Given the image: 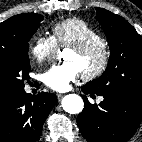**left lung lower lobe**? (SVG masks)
Returning <instances> with one entry per match:
<instances>
[{
	"mask_svg": "<svg viewBox=\"0 0 142 142\" xmlns=\"http://www.w3.org/2000/svg\"><path fill=\"white\" fill-rule=\"evenodd\" d=\"M84 94L93 95L85 85ZM96 94V93H94ZM102 95L104 100L91 104L86 96L78 126L88 142H127L136 132L142 119V99L128 95Z\"/></svg>",
	"mask_w": 142,
	"mask_h": 142,
	"instance_id": "left-lung-lower-lobe-1",
	"label": "left lung lower lobe"
}]
</instances>
